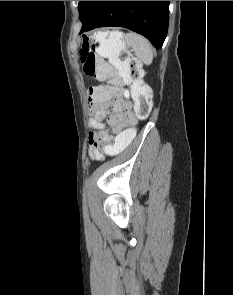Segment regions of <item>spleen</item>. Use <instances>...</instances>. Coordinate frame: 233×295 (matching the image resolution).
Listing matches in <instances>:
<instances>
[{"instance_id":"3e777b00","label":"spleen","mask_w":233,"mask_h":295,"mask_svg":"<svg viewBox=\"0 0 233 295\" xmlns=\"http://www.w3.org/2000/svg\"><path fill=\"white\" fill-rule=\"evenodd\" d=\"M99 52L103 57H108L109 62L119 70L124 63L119 59L120 51L126 46L133 49L134 54L145 64L149 65L153 60V50L149 41L143 36L130 32L123 34L119 31H111L108 38L104 34L99 36Z\"/></svg>"}]
</instances>
